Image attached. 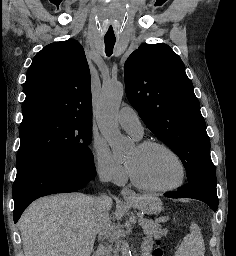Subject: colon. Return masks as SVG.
Listing matches in <instances>:
<instances>
[{
    "instance_id": "5ec220e1",
    "label": "colon",
    "mask_w": 236,
    "mask_h": 256,
    "mask_svg": "<svg viewBox=\"0 0 236 256\" xmlns=\"http://www.w3.org/2000/svg\"><path fill=\"white\" fill-rule=\"evenodd\" d=\"M151 256H164V250L162 247V243L159 239L155 241V246L152 250Z\"/></svg>"
}]
</instances>
